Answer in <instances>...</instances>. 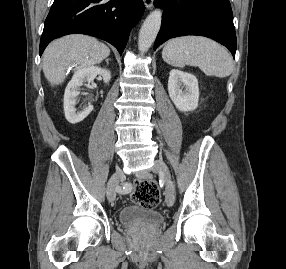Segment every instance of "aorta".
Segmentation results:
<instances>
[{"label":"aorta","instance_id":"aorta-1","mask_svg":"<svg viewBox=\"0 0 286 269\" xmlns=\"http://www.w3.org/2000/svg\"><path fill=\"white\" fill-rule=\"evenodd\" d=\"M162 21V11L156 9L152 11L145 19L138 37V49L145 53L151 47L152 43L160 30Z\"/></svg>","mask_w":286,"mask_h":269}]
</instances>
